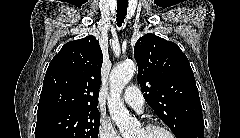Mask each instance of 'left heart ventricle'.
Instances as JSON below:
<instances>
[{
  "mask_svg": "<svg viewBox=\"0 0 240 138\" xmlns=\"http://www.w3.org/2000/svg\"><path fill=\"white\" fill-rule=\"evenodd\" d=\"M133 138H167L161 131H146L143 128L134 133Z\"/></svg>",
  "mask_w": 240,
  "mask_h": 138,
  "instance_id": "obj_1",
  "label": "left heart ventricle"
}]
</instances>
